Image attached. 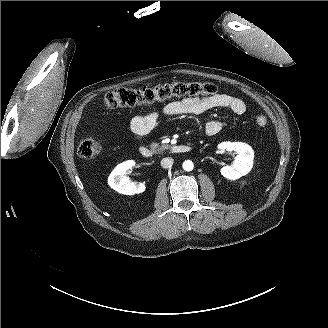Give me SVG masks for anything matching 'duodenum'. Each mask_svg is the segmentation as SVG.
<instances>
[{
	"mask_svg": "<svg viewBox=\"0 0 328 328\" xmlns=\"http://www.w3.org/2000/svg\"><path fill=\"white\" fill-rule=\"evenodd\" d=\"M190 150H191L190 146L179 144V145L172 146L168 151L169 153L172 154H183L189 152ZM139 153L142 157L146 159H150L156 155V152L147 146H141L139 148Z\"/></svg>",
	"mask_w": 328,
	"mask_h": 328,
	"instance_id": "1",
	"label": "duodenum"
}]
</instances>
